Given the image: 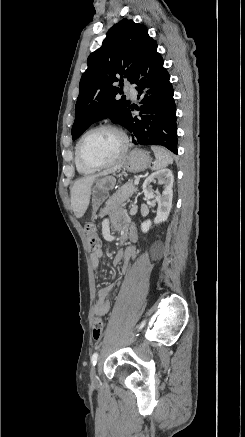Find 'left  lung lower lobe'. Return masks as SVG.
I'll return each instance as SVG.
<instances>
[{"label": "left lung lower lobe", "instance_id": "1", "mask_svg": "<svg viewBox=\"0 0 245 437\" xmlns=\"http://www.w3.org/2000/svg\"><path fill=\"white\" fill-rule=\"evenodd\" d=\"M139 73L146 75L147 79L139 80ZM169 78L156 46L143 60L133 83L139 94L145 85L148 86L150 96L142 99L141 109L130 106L126 128L133 133L132 141L136 145H160L177 154L176 105ZM134 109L140 110L139 118L132 115Z\"/></svg>", "mask_w": 245, "mask_h": 437}]
</instances>
